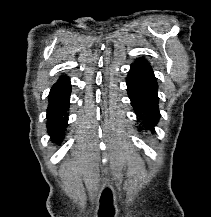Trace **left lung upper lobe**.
<instances>
[{
	"instance_id": "obj_1",
	"label": "left lung upper lobe",
	"mask_w": 211,
	"mask_h": 217,
	"mask_svg": "<svg viewBox=\"0 0 211 217\" xmlns=\"http://www.w3.org/2000/svg\"><path fill=\"white\" fill-rule=\"evenodd\" d=\"M133 64L138 65V66H140V67L145 68L146 70H149V71L153 72V70H152L150 64H149L145 59H143V58L137 59V60L135 61V63H133Z\"/></svg>"
}]
</instances>
